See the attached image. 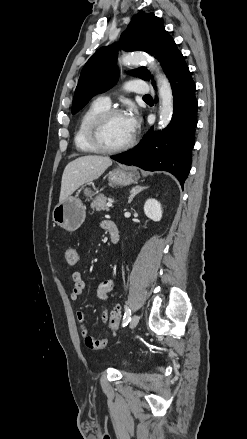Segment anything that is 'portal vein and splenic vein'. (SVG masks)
<instances>
[{"instance_id": "1", "label": "portal vein and splenic vein", "mask_w": 247, "mask_h": 439, "mask_svg": "<svg viewBox=\"0 0 247 439\" xmlns=\"http://www.w3.org/2000/svg\"><path fill=\"white\" fill-rule=\"evenodd\" d=\"M112 205H113L112 202H108V203L106 204L107 207H112Z\"/></svg>"}]
</instances>
